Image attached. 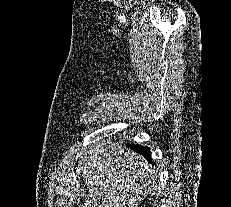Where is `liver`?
<instances>
[{
	"label": "liver",
	"instance_id": "liver-1",
	"mask_svg": "<svg viewBox=\"0 0 231 207\" xmlns=\"http://www.w3.org/2000/svg\"><path fill=\"white\" fill-rule=\"evenodd\" d=\"M78 163L88 190L83 207H138L152 194L154 174L148 162L111 140L97 141Z\"/></svg>",
	"mask_w": 231,
	"mask_h": 207
}]
</instances>
